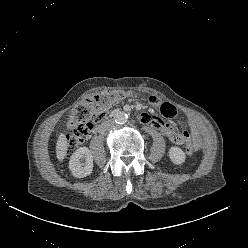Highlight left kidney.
Here are the masks:
<instances>
[{"label":"left kidney","instance_id":"obj_1","mask_svg":"<svg viewBox=\"0 0 248 248\" xmlns=\"http://www.w3.org/2000/svg\"><path fill=\"white\" fill-rule=\"evenodd\" d=\"M169 158L174 164L180 165L185 161L186 156L181 148L173 146L169 149Z\"/></svg>","mask_w":248,"mask_h":248}]
</instances>
